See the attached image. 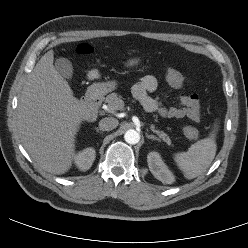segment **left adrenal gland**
I'll list each match as a JSON object with an SVG mask.
<instances>
[{
	"mask_svg": "<svg viewBox=\"0 0 248 248\" xmlns=\"http://www.w3.org/2000/svg\"><path fill=\"white\" fill-rule=\"evenodd\" d=\"M146 137L148 138V139H152V140H157V141H160V139L159 138H157L156 136H154V135H149V134H146Z\"/></svg>",
	"mask_w": 248,
	"mask_h": 248,
	"instance_id": "1",
	"label": "left adrenal gland"
}]
</instances>
